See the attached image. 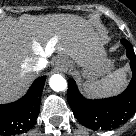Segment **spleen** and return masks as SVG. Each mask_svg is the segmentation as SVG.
<instances>
[{
  "instance_id": "obj_1",
  "label": "spleen",
  "mask_w": 136,
  "mask_h": 136,
  "mask_svg": "<svg viewBox=\"0 0 136 136\" xmlns=\"http://www.w3.org/2000/svg\"><path fill=\"white\" fill-rule=\"evenodd\" d=\"M124 75L121 72L109 74L100 81L89 82L85 85V89L89 94H103L117 91L123 84Z\"/></svg>"
}]
</instances>
